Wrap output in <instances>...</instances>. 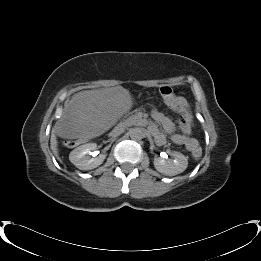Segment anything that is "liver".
<instances>
[{
  "mask_svg": "<svg viewBox=\"0 0 261 261\" xmlns=\"http://www.w3.org/2000/svg\"><path fill=\"white\" fill-rule=\"evenodd\" d=\"M132 106V97L122 87L76 94L55 123L53 133L62 139L88 140L112 128Z\"/></svg>",
  "mask_w": 261,
  "mask_h": 261,
  "instance_id": "obj_1",
  "label": "liver"
}]
</instances>
